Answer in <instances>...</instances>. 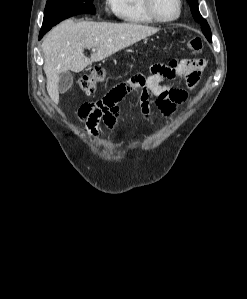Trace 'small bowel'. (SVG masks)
<instances>
[{"label": "small bowel", "instance_id": "small-bowel-1", "mask_svg": "<svg viewBox=\"0 0 247 299\" xmlns=\"http://www.w3.org/2000/svg\"><path fill=\"white\" fill-rule=\"evenodd\" d=\"M204 66L202 59L171 61L152 66L147 76L137 74L117 84L101 100L86 102L79 107L77 118L83 124V131L94 138H100V121L115 130L120 117L118 104L133 93H138L141 112L147 122L153 119L151 97H155L154 104L163 115L173 116L177 107L187 100L188 93L172 81L184 78L187 87L193 89Z\"/></svg>", "mask_w": 247, "mask_h": 299}]
</instances>
